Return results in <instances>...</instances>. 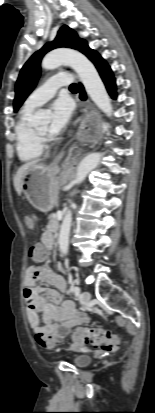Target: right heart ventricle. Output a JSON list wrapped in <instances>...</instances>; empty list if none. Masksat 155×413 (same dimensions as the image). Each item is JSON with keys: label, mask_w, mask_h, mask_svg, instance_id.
Segmentation results:
<instances>
[{"label": "right heart ventricle", "mask_w": 155, "mask_h": 413, "mask_svg": "<svg viewBox=\"0 0 155 413\" xmlns=\"http://www.w3.org/2000/svg\"><path fill=\"white\" fill-rule=\"evenodd\" d=\"M32 114L33 108L25 106L15 126L16 151L19 159L24 162L34 161L43 153L42 140L35 134L30 122Z\"/></svg>", "instance_id": "obj_1"}]
</instances>
